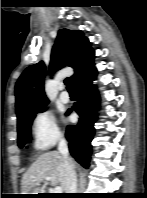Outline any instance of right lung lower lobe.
Segmentation results:
<instances>
[{"label":"right lung lower lobe","instance_id":"1","mask_svg":"<svg viewBox=\"0 0 147 198\" xmlns=\"http://www.w3.org/2000/svg\"><path fill=\"white\" fill-rule=\"evenodd\" d=\"M96 75L97 70L93 67L75 83L78 102L74 104L73 109L79 114V122L75 126H68L66 131L70 153L84 168L89 167L92 153L91 141L95 133L93 125L99 108V95L92 84ZM70 111L68 110L66 114L68 115Z\"/></svg>","mask_w":147,"mask_h":198}]
</instances>
